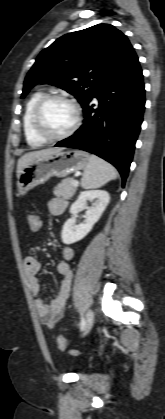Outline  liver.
Listing matches in <instances>:
<instances>
[{
	"label": "liver",
	"instance_id": "obj_1",
	"mask_svg": "<svg viewBox=\"0 0 165 419\" xmlns=\"http://www.w3.org/2000/svg\"><path fill=\"white\" fill-rule=\"evenodd\" d=\"M62 150L63 148H47V149L32 151V152H28L24 154L22 157L19 158L18 163H17V177H19L22 170L34 158L49 155V154L56 153Z\"/></svg>",
	"mask_w": 165,
	"mask_h": 419
}]
</instances>
